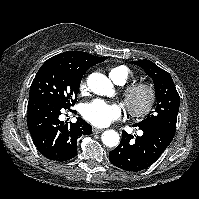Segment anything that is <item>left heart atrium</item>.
Instances as JSON below:
<instances>
[{
  "instance_id": "1",
  "label": "left heart atrium",
  "mask_w": 199,
  "mask_h": 199,
  "mask_svg": "<svg viewBox=\"0 0 199 199\" xmlns=\"http://www.w3.org/2000/svg\"><path fill=\"white\" fill-rule=\"evenodd\" d=\"M82 113L84 118L91 124L105 127L120 118L122 109L117 104L94 100L84 106Z\"/></svg>"
}]
</instances>
